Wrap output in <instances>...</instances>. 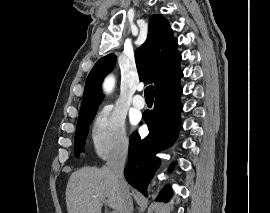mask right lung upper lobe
I'll return each mask as SVG.
<instances>
[{
  "label": "right lung upper lobe",
  "instance_id": "right-lung-upper-lobe-1",
  "mask_svg": "<svg viewBox=\"0 0 270 213\" xmlns=\"http://www.w3.org/2000/svg\"><path fill=\"white\" fill-rule=\"evenodd\" d=\"M140 80L155 84V90L180 72L181 55L177 50L168 21L161 15L149 19L148 36L135 53ZM116 56L108 54L99 59L89 73L83 94L79 118L96 110L102 100L101 83L115 66Z\"/></svg>",
  "mask_w": 270,
  "mask_h": 213
}]
</instances>
